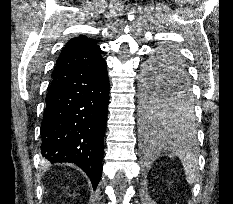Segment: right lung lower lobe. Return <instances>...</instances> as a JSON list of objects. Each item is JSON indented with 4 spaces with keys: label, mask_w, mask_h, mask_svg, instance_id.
<instances>
[{
    "label": "right lung lower lobe",
    "mask_w": 233,
    "mask_h": 204,
    "mask_svg": "<svg viewBox=\"0 0 233 204\" xmlns=\"http://www.w3.org/2000/svg\"><path fill=\"white\" fill-rule=\"evenodd\" d=\"M109 100L106 63L80 67L52 86L41 126V154L51 163L72 162L90 178L93 189L102 175L104 133Z\"/></svg>",
    "instance_id": "obj_1"
}]
</instances>
